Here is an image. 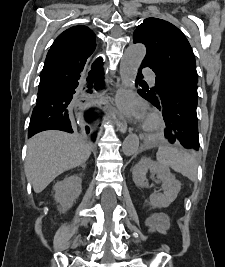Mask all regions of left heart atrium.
Segmentation results:
<instances>
[{
	"label": "left heart atrium",
	"instance_id": "39dd6f15",
	"mask_svg": "<svg viewBox=\"0 0 225 267\" xmlns=\"http://www.w3.org/2000/svg\"><path fill=\"white\" fill-rule=\"evenodd\" d=\"M120 108L129 116L135 119H142L144 116V106L132 94L124 92L117 97Z\"/></svg>",
	"mask_w": 225,
	"mask_h": 267
}]
</instances>
